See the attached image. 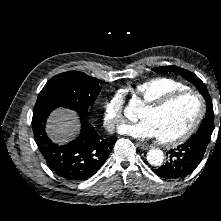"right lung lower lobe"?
Here are the masks:
<instances>
[{
	"mask_svg": "<svg viewBox=\"0 0 221 221\" xmlns=\"http://www.w3.org/2000/svg\"><path fill=\"white\" fill-rule=\"evenodd\" d=\"M55 108L52 103L35 104L32 127L38 149L48 167L59 177L69 181L86 180L105 163L117 137L102 138L88 119L80 116V135L66 145H57L45 131L46 119Z\"/></svg>",
	"mask_w": 221,
	"mask_h": 221,
	"instance_id": "right-lung-lower-lobe-1",
	"label": "right lung lower lobe"
}]
</instances>
